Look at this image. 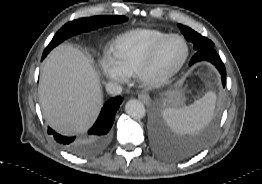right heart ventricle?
Masks as SVG:
<instances>
[{"instance_id": "obj_1", "label": "right heart ventricle", "mask_w": 262, "mask_h": 184, "mask_svg": "<svg viewBox=\"0 0 262 184\" xmlns=\"http://www.w3.org/2000/svg\"><path fill=\"white\" fill-rule=\"evenodd\" d=\"M168 33L153 29H134L118 36L112 44V55L127 74H135L151 49Z\"/></svg>"}]
</instances>
